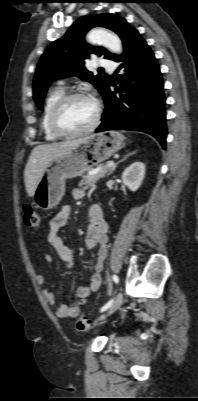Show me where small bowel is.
I'll return each mask as SVG.
<instances>
[{
    "instance_id": "small-bowel-1",
    "label": "small bowel",
    "mask_w": 198,
    "mask_h": 401,
    "mask_svg": "<svg viewBox=\"0 0 198 401\" xmlns=\"http://www.w3.org/2000/svg\"><path fill=\"white\" fill-rule=\"evenodd\" d=\"M73 196L77 199H81L85 196V190L81 188H75L73 190ZM71 214L69 206L65 205L61 210L52 218L49 224V230L47 239L49 244L54 248L60 259L65 263L67 268H72L74 265V258L72 250L65 244L61 236L59 235L60 230L67 224ZM89 225L86 232L85 244L88 249L99 247L98 249V260L94 266V271L90 278L89 285H78L75 289L77 301L70 304H61L56 308V313L62 318H74L79 314V307L85 303L90 294L99 289L102 283V270L103 263L108 254V223L104 218L103 211L98 204H92L89 211ZM45 258L51 260L52 256L46 254ZM37 281L39 284L44 285L46 283L45 276L38 274ZM43 294L46 300L50 304L56 302L55 293L48 287L43 289ZM78 328L81 331H86L90 328V323L79 325Z\"/></svg>"
}]
</instances>
